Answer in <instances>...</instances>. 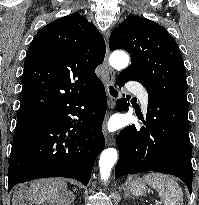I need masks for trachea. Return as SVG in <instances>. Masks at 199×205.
<instances>
[{
  "label": "trachea",
  "instance_id": "1",
  "mask_svg": "<svg viewBox=\"0 0 199 205\" xmlns=\"http://www.w3.org/2000/svg\"><path fill=\"white\" fill-rule=\"evenodd\" d=\"M109 90L112 96L117 97L118 93L112 86L109 87Z\"/></svg>",
  "mask_w": 199,
  "mask_h": 205
}]
</instances>
